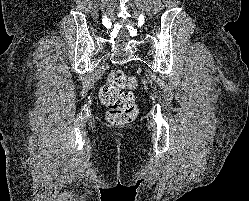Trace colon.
Wrapping results in <instances>:
<instances>
[{
  "instance_id": "obj_1",
  "label": "colon",
  "mask_w": 249,
  "mask_h": 201,
  "mask_svg": "<svg viewBox=\"0 0 249 201\" xmlns=\"http://www.w3.org/2000/svg\"><path fill=\"white\" fill-rule=\"evenodd\" d=\"M134 80L120 69L110 72L99 92L101 102L107 106V119L114 126H124L137 115V105L130 90Z\"/></svg>"
}]
</instances>
